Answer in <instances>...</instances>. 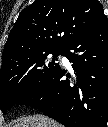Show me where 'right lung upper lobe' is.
Listing matches in <instances>:
<instances>
[{"label":"right lung upper lobe","instance_id":"cb5924a9","mask_svg":"<svg viewBox=\"0 0 108 127\" xmlns=\"http://www.w3.org/2000/svg\"><path fill=\"white\" fill-rule=\"evenodd\" d=\"M105 18L98 0H35L20 13L12 28L2 65L22 55L64 50Z\"/></svg>","mask_w":108,"mask_h":127}]
</instances>
